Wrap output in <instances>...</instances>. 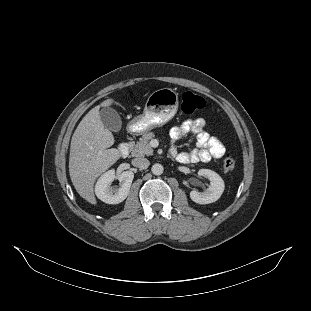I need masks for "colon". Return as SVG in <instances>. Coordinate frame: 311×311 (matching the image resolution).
<instances>
[{
  "instance_id": "obj_1",
  "label": "colon",
  "mask_w": 311,
  "mask_h": 311,
  "mask_svg": "<svg viewBox=\"0 0 311 311\" xmlns=\"http://www.w3.org/2000/svg\"><path fill=\"white\" fill-rule=\"evenodd\" d=\"M204 107L205 101L201 96L189 91L182 95L181 109L186 115H193L201 111ZM234 167L235 159L232 155L228 154L223 160L222 168L224 171L229 172L232 171Z\"/></svg>"
}]
</instances>
